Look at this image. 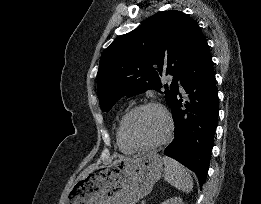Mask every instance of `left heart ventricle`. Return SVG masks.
Segmentation results:
<instances>
[{"mask_svg": "<svg viewBox=\"0 0 261 204\" xmlns=\"http://www.w3.org/2000/svg\"><path fill=\"white\" fill-rule=\"evenodd\" d=\"M164 129L165 123L161 114L151 108L136 112L126 124L128 138L138 145L155 142L162 136Z\"/></svg>", "mask_w": 261, "mask_h": 204, "instance_id": "left-heart-ventricle-1", "label": "left heart ventricle"}]
</instances>
